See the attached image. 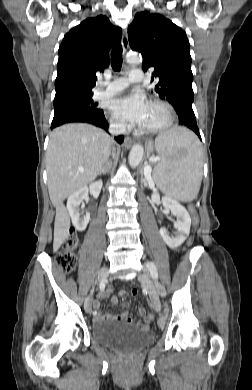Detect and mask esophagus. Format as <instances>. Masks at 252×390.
<instances>
[{
	"label": "esophagus",
	"instance_id": "obj_1",
	"mask_svg": "<svg viewBox=\"0 0 252 390\" xmlns=\"http://www.w3.org/2000/svg\"><path fill=\"white\" fill-rule=\"evenodd\" d=\"M121 44H122L124 53H126L127 50H128V47H129L128 35H127V31L126 30H124V32H123ZM133 143H134V141H133L132 138L125 137L124 145L126 147H131Z\"/></svg>",
	"mask_w": 252,
	"mask_h": 390
}]
</instances>
